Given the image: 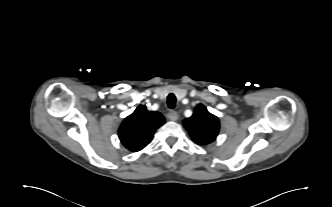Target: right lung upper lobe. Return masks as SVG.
<instances>
[{
  "label": "right lung upper lobe",
  "mask_w": 332,
  "mask_h": 207,
  "mask_svg": "<svg viewBox=\"0 0 332 207\" xmlns=\"http://www.w3.org/2000/svg\"><path fill=\"white\" fill-rule=\"evenodd\" d=\"M164 122L161 113L148 111L140 105L122 122L118 131L120 141L128 150L140 151L150 143L154 132Z\"/></svg>",
  "instance_id": "obj_1"
}]
</instances>
